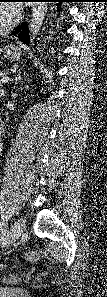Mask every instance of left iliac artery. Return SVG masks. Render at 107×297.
I'll return each instance as SVG.
<instances>
[{"instance_id": "obj_1", "label": "left iliac artery", "mask_w": 107, "mask_h": 297, "mask_svg": "<svg viewBox=\"0 0 107 297\" xmlns=\"http://www.w3.org/2000/svg\"><path fill=\"white\" fill-rule=\"evenodd\" d=\"M13 209H14V208H13ZM13 212H14V211L11 210V211L9 212V214L5 216V219L2 218L3 221H2L1 224H0L1 232H2V234H3V237H2V239H1V244H2V245H5V244L7 243V241H8V239H9V231L7 230L6 221H8V219L12 216V213H13Z\"/></svg>"}]
</instances>
